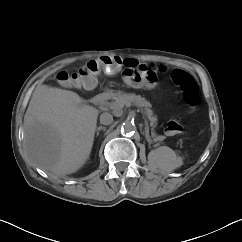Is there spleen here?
<instances>
[{"mask_svg": "<svg viewBox=\"0 0 242 242\" xmlns=\"http://www.w3.org/2000/svg\"><path fill=\"white\" fill-rule=\"evenodd\" d=\"M156 153L158 158L157 164L161 169L171 171L176 167L178 160L172 149L162 146L156 150Z\"/></svg>", "mask_w": 242, "mask_h": 242, "instance_id": "3e777b00", "label": "spleen"}]
</instances>
